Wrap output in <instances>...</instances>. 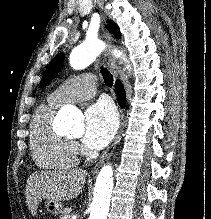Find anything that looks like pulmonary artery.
Wrapping results in <instances>:
<instances>
[{
  "instance_id": "obj_1",
  "label": "pulmonary artery",
  "mask_w": 211,
  "mask_h": 219,
  "mask_svg": "<svg viewBox=\"0 0 211 219\" xmlns=\"http://www.w3.org/2000/svg\"><path fill=\"white\" fill-rule=\"evenodd\" d=\"M96 92L95 77L85 73L66 80L48 98L56 105L90 99Z\"/></svg>"
}]
</instances>
